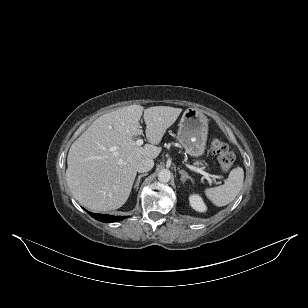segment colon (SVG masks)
<instances>
[{"label":"colon","mask_w":308,"mask_h":308,"mask_svg":"<svg viewBox=\"0 0 308 308\" xmlns=\"http://www.w3.org/2000/svg\"><path fill=\"white\" fill-rule=\"evenodd\" d=\"M210 151L217 157L219 168L222 172H227L231 169L234 163V154L223 140L213 138L210 142Z\"/></svg>","instance_id":"1"}]
</instances>
